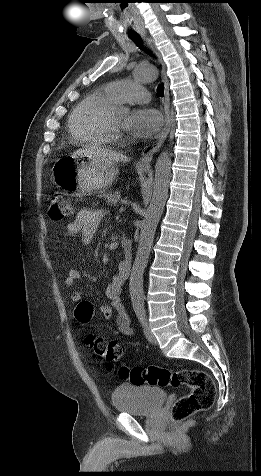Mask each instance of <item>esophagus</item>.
Masks as SVG:
<instances>
[{"label":"esophagus","instance_id":"esophagus-1","mask_svg":"<svg viewBox=\"0 0 261 476\" xmlns=\"http://www.w3.org/2000/svg\"><path fill=\"white\" fill-rule=\"evenodd\" d=\"M144 38L146 39V42L149 44V46L156 52V54L159 57L162 70H161V77L162 81L164 83V112H165V123L160 131V133L155 137L154 141L147 146L144 147V150L142 152V155L138 161V165L143 166V167H148L150 166V163L153 159V155L159 150V148L162 146L164 143L165 139L167 138V135L170 131V97H169V82L168 78L166 75V67L165 64L160 56V54L157 51V48L155 46V43L152 38L147 37L144 35Z\"/></svg>","mask_w":261,"mask_h":476}]
</instances>
